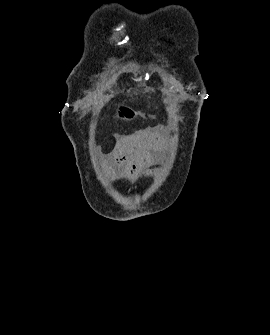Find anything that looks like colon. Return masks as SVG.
<instances>
[{
	"label": "colon",
	"mask_w": 270,
	"mask_h": 335,
	"mask_svg": "<svg viewBox=\"0 0 270 335\" xmlns=\"http://www.w3.org/2000/svg\"><path fill=\"white\" fill-rule=\"evenodd\" d=\"M124 116L125 117H135L136 116V111L135 110H125L124 111Z\"/></svg>",
	"instance_id": "obj_1"
}]
</instances>
